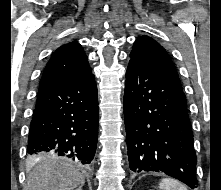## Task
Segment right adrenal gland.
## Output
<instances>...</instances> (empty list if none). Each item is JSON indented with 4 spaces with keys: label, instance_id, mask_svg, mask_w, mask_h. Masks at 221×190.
I'll return each mask as SVG.
<instances>
[{
    "label": "right adrenal gland",
    "instance_id": "obj_1",
    "mask_svg": "<svg viewBox=\"0 0 221 190\" xmlns=\"http://www.w3.org/2000/svg\"><path fill=\"white\" fill-rule=\"evenodd\" d=\"M76 190H82V186H80L79 188H77Z\"/></svg>",
    "mask_w": 221,
    "mask_h": 190
}]
</instances>
